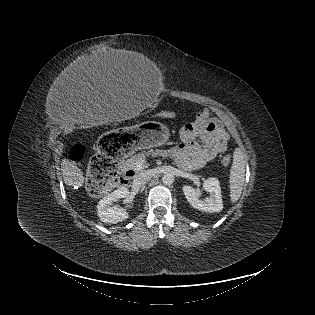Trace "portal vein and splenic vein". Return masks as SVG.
Listing matches in <instances>:
<instances>
[{"instance_id": "portal-vein-and-splenic-vein-1", "label": "portal vein and splenic vein", "mask_w": 315, "mask_h": 315, "mask_svg": "<svg viewBox=\"0 0 315 315\" xmlns=\"http://www.w3.org/2000/svg\"><path fill=\"white\" fill-rule=\"evenodd\" d=\"M142 165H143V162L140 161V162L138 163V167H141Z\"/></svg>"}]
</instances>
